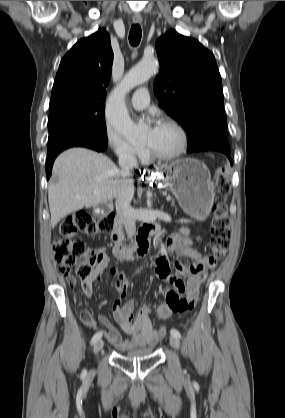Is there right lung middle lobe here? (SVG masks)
<instances>
[{
	"instance_id": "obj_1",
	"label": "right lung middle lobe",
	"mask_w": 285,
	"mask_h": 418,
	"mask_svg": "<svg viewBox=\"0 0 285 418\" xmlns=\"http://www.w3.org/2000/svg\"><path fill=\"white\" fill-rule=\"evenodd\" d=\"M104 110V104L70 101L50 104L47 153L80 139L108 143Z\"/></svg>"
}]
</instances>
